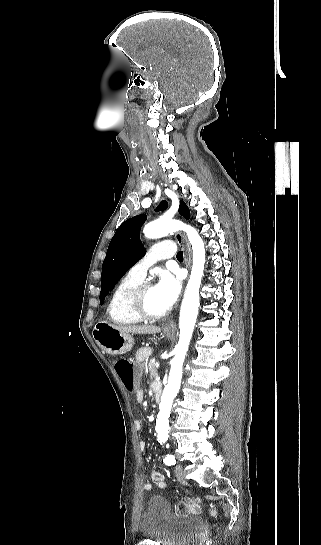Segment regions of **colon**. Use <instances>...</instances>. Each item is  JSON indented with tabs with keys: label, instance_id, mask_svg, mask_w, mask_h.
Listing matches in <instances>:
<instances>
[{
	"label": "colon",
	"instance_id": "colon-1",
	"mask_svg": "<svg viewBox=\"0 0 321 545\" xmlns=\"http://www.w3.org/2000/svg\"><path fill=\"white\" fill-rule=\"evenodd\" d=\"M115 371L128 391H134L136 389V370L130 361L126 359L118 360L115 363ZM177 511L181 514L199 513L200 505L196 500L187 499L177 506ZM215 513L216 511L213 509L212 514Z\"/></svg>",
	"mask_w": 321,
	"mask_h": 545
}]
</instances>
